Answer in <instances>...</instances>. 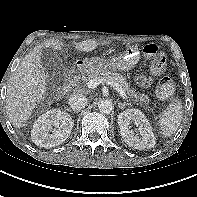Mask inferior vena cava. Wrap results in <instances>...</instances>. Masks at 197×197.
<instances>
[{"mask_svg":"<svg viewBox=\"0 0 197 197\" xmlns=\"http://www.w3.org/2000/svg\"><path fill=\"white\" fill-rule=\"evenodd\" d=\"M87 98L83 94H74L69 98V105L74 111H79L85 108Z\"/></svg>","mask_w":197,"mask_h":197,"instance_id":"obj_1","label":"inferior vena cava"}]
</instances>
